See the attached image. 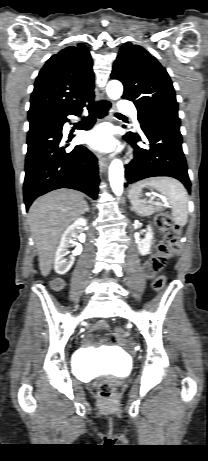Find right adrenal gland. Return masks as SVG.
<instances>
[{
    "mask_svg": "<svg viewBox=\"0 0 208 461\" xmlns=\"http://www.w3.org/2000/svg\"><path fill=\"white\" fill-rule=\"evenodd\" d=\"M85 212H90V208H89L88 204H86Z\"/></svg>",
    "mask_w": 208,
    "mask_h": 461,
    "instance_id": "right-adrenal-gland-1",
    "label": "right adrenal gland"
}]
</instances>
